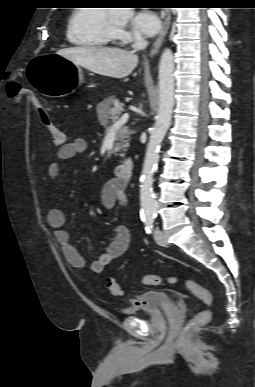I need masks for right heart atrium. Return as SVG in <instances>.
Wrapping results in <instances>:
<instances>
[{
  "label": "right heart atrium",
  "mask_w": 255,
  "mask_h": 387,
  "mask_svg": "<svg viewBox=\"0 0 255 387\" xmlns=\"http://www.w3.org/2000/svg\"><path fill=\"white\" fill-rule=\"evenodd\" d=\"M115 36H116L117 39H119V40H121L123 42H126V41H129L131 39H134V36L132 34H130L126 30L121 29V28H116L115 29Z\"/></svg>",
  "instance_id": "1"
}]
</instances>
